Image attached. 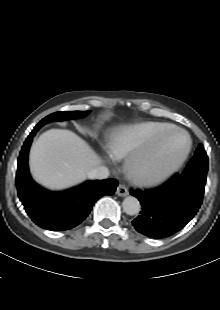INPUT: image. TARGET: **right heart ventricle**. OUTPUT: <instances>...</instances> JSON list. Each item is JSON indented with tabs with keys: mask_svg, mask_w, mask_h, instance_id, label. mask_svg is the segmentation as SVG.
Wrapping results in <instances>:
<instances>
[{
	"mask_svg": "<svg viewBox=\"0 0 220 310\" xmlns=\"http://www.w3.org/2000/svg\"><path fill=\"white\" fill-rule=\"evenodd\" d=\"M170 126L162 122H145L127 128L108 144V153L115 159H123L138 149L150 146L153 138Z\"/></svg>",
	"mask_w": 220,
	"mask_h": 310,
	"instance_id": "e07e8e85",
	"label": "right heart ventricle"
}]
</instances>
